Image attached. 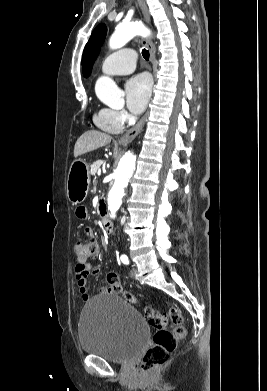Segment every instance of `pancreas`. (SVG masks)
<instances>
[{"label": "pancreas", "mask_w": 267, "mask_h": 391, "mask_svg": "<svg viewBox=\"0 0 267 391\" xmlns=\"http://www.w3.org/2000/svg\"><path fill=\"white\" fill-rule=\"evenodd\" d=\"M103 164L102 160H97L91 165L90 174L95 175L97 170L100 168V166Z\"/></svg>", "instance_id": "obj_1"}]
</instances>
